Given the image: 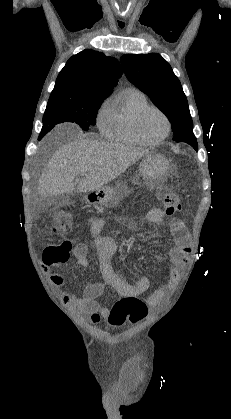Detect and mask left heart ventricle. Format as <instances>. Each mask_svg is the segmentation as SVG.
I'll list each match as a JSON object with an SVG mask.
<instances>
[{
	"label": "left heart ventricle",
	"mask_w": 231,
	"mask_h": 419,
	"mask_svg": "<svg viewBox=\"0 0 231 419\" xmlns=\"http://www.w3.org/2000/svg\"><path fill=\"white\" fill-rule=\"evenodd\" d=\"M143 133L149 139H158L162 137L166 130L167 125L160 113L157 111H149L142 120Z\"/></svg>",
	"instance_id": "left-heart-ventricle-1"
}]
</instances>
